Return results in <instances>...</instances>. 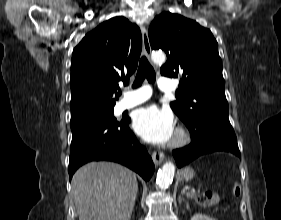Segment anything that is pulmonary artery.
I'll return each mask as SVG.
<instances>
[{
	"mask_svg": "<svg viewBox=\"0 0 281 220\" xmlns=\"http://www.w3.org/2000/svg\"><path fill=\"white\" fill-rule=\"evenodd\" d=\"M158 87L161 91L170 92L176 88L175 82L168 77H160L158 80ZM151 96V88L149 86H143L134 91L127 92L124 99L120 103L122 110L135 107Z\"/></svg>",
	"mask_w": 281,
	"mask_h": 220,
	"instance_id": "e3ab8cb5",
	"label": "pulmonary artery"
}]
</instances>
